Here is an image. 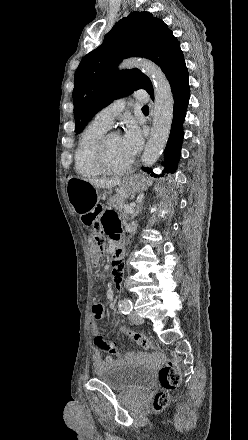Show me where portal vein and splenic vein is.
Instances as JSON below:
<instances>
[{
    "instance_id": "18ae733b",
    "label": "portal vein and splenic vein",
    "mask_w": 248,
    "mask_h": 440,
    "mask_svg": "<svg viewBox=\"0 0 248 440\" xmlns=\"http://www.w3.org/2000/svg\"><path fill=\"white\" fill-rule=\"evenodd\" d=\"M135 206H136L135 203H132V204H130V205H124V210H125L127 213L132 214V213L134 212V208H135Z\"/></svg>"
}]
</instances>
